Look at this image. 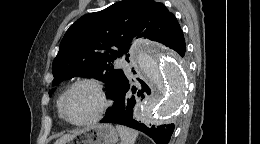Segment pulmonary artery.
Segmentation results:
<instances>
[{"label": "pulmonary artery", "mask_w": 260, "mask_h": 144, "mask_svg": "<svg viewBox=\"0 0 260 144\" xmlns=\"http://www.w3.org/2000/svg\"><path fill=\"white\" fill-rule=\"evenodd\" d=\"M118 65H119L120 67L124 68L126 71L129 70L128 65H127L124 61H122V60H119V61H118Z\"/></svg>", "instance_id": "pulmonary-artery-1"}]
</instances>
